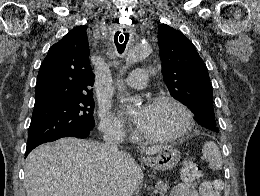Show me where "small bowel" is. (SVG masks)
I'll list each match as a JSON object with an SVG mask.
<instances>
[{"mask_svg":"<svg viewBox=\"0 0 260 196\" xmlns=\"http://www.w3.org/2000/svg\"><path fill=\"white\" fill-rule=\"evenodd\" d=\"M170 196H199V192L194 184L179 183L172 189Z\"/></svg>","mask_w":260,"mask_h":196,"instance_id":"c3829d8e","label":"small bowel"}]
</instances>
